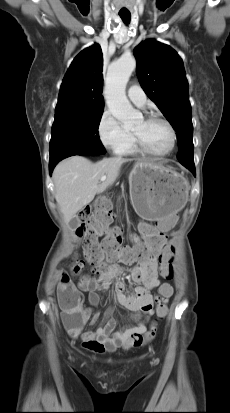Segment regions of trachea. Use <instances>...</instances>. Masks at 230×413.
<instances>
[{
    "instance_id": "3493384b",
    "label": "trachea",
    "mask_w": 230,
    "mask_h": 413,
    "mask_svg": "<svg viewBox=\"0 0 230 413\" xmlns=\"http://www.w3.org/2000/svg\"><path fill=\"white\" fill-rule=\"evenodd\" d=\"M119 16L123 20L124 23L128 24L131 19V14L130 13H119Z\"/></svg>"
}]
</instances>
